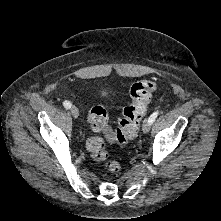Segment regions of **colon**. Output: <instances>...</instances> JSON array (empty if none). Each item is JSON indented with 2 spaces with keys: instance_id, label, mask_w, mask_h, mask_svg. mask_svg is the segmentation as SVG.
I'll return each mask as SVG.
<instances>
[{
  "instance_id": "5ec220e1",
  "label": "colon",
  "mask_w": 221,
  "mask_h": 221,
  "mask_svg": "<svg viewBox=\"0 0 221 221\" xmlns=\"http://www.w3.org/2000/svg\"><path fill=\"white\" fill-rule=\"evenodd\" d=\"M155 80H142L131 87V103L123 110L116 128H112L107 111L102 106H94L87 117L88 125L94 132H102L105 139L93 136L87 140V149L95 161L102 162L110 174L120 171L117 160L109 159L106 142L120 145L127 144L137 136L140 122L146 113L151 94L157 89Z\"/></svg>"
}]
</instances>
